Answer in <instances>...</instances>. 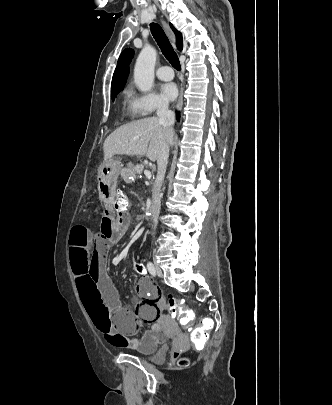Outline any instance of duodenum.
<instances>
[{
  "label": "duodenum",
  "instance_id": "1",
  "mask_svg": "<svg viewBox=\"0 0 332 405\" xmlns=\"http://www.w3.org/2000/svg\"><path fill=\"white\" fill-rule=\"evenodd\" d=\"M118 218L119 219H121V220H123V221H125L126 220V215H125V213L124 212H119L118 213Z\"/></svg>",
  "mask_w": 332,
  "mask_h": 405
}]
</instances>
